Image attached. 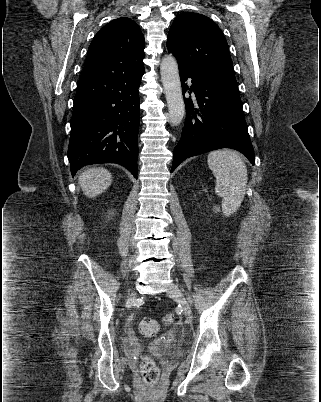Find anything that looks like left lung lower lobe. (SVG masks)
Here are the masks:
<instances>
[{"mask_svg":"<svg viewBox=\"0 0 321 402\" xmlns=\"http://www.w3.org/2000/svg\"><path fill=\"white\" fill-rule=\"evenodd\" d=\"M183 94L191 78L190 92L197 103L186 99V123L174 149L173 172L185 159L219 148H232L255 164L254 149L242 110L237 81L233 77L196 73L179 66Z\"/></svg>","mask_w":321,"mask_h":402,"instance_id":"1","label":"left lung lower lobe"}]
</instances>
